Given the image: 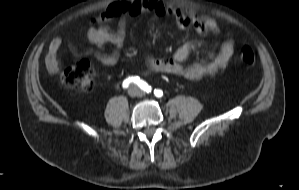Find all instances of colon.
<instances>
[{
    "instance_id": "5ec220e1",
    "label": "colon",
    "mask_w": 299,
    "mask_h": 190,
    "mask_svg": "<svg viewBox=\"0 0 299 190\" xmlns=\"http://www.w3.org/2000/svg\"><path fill=\"white\" fill-rule=\"evenodd\" d=\"M240 59L246 66L253 65L255 62L253 49L244 45L240 51ZM62 80L64 84L80 92H90L93 88V74L89 62L84 59L75 61L64 70Z\"/></svg>"
}]
</instances>
